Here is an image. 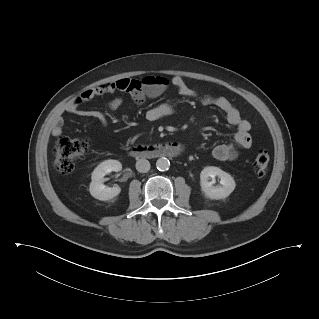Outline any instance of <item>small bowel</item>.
I'll list each match as a JSON object with an SVG mask.
<instances>
[{
    "label": "small bowel",
    "instance_id": "obj_1",
    "mask_svg": "<svg viewBox=\"0 0 319 319\" xmlns=\"http://www.w3.org/2000/svg\"><path fill=\"white\" fill-rule=\"evenodd\" d=\"M128 79H122L119 81L107 83L95 88H91L83 91L78 97L71 100L65 107V112L72 115H78L83 117H92L97 119L102 125H107L108 118L102 111L96 110H83V104L89 102L95 96L103 95L106 93H112L114 91L125 92V85ZM171 85L178 93L184 97L196 99L200 103L208 106H212L220 110L227 120V122L236 128L234 134V140L230 143H224L217 145L212 150V155L219 161H231L236 159L241 150L248 149L252 145L251 138V124L248 120L241 117L237 108L232 104L230 100L225 97H217L211 95L200 94L195 89L190 87L185 80L180 76H175L171 80ZM155 95H145L143 93H137L131 95V98L136 103L142 102L146 97H155ZM124 103V99L121 96H117L110 100L108 108L110 111H117ZM173 112V107L169 103H159L150 107L145 117L148 121H158L169 116ZM63 133L62 121L59 120L52 128V134L55 137L61 136Z\"/></svg>",
    "mask_w": 319,
    "mask_h": 319
}]
</instances>
